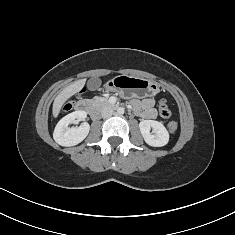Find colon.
Returning <instances> with one entry per match:
<instances>
[{
  "label": "colon",
  "mask_w": 235,
  "mask_h": 235,
  "mask_svg": "<svg viewBox=\"0 0 235 235\" xmlns=\"http://www.w3.org/2000/svg\"><path fill=\"white\" fill-rule=\"evenodd\" d=\"M72 107L71 104L67 103L64 105V110H70ZM159 114L163 118H169L171 116V110L166 102V100H160L158 103ZM178 128L176 122L172 121L168 124V130L170 133H174Z\"/></svg>",
  "instance_id": "colon-1"
}]
</instances>
